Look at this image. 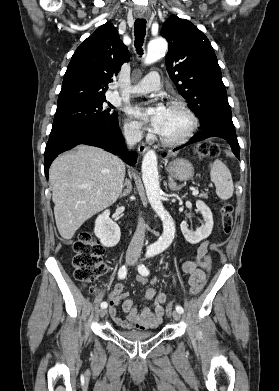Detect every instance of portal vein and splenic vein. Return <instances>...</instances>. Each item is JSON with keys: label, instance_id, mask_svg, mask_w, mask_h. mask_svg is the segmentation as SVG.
Returning a JSON list of instances; mask_svg holds the SVG:
<instances>
[{"label": "portal vein and splenic vein", "instance_id": "portal-vein-and-splenic-vein-1", "mask_svg": "<svg viewBox=\"0 0 279 391\" xmlns=\"http://www.w3.org/2000/svg\"><path fill=\"white\" fill-rule=\"evenodd\" d=\"M198 193H199V191L197 189L193 190V195H197Z\"/></svg>", "mask_w": 279, "mask_h": 391}]
</instances>
